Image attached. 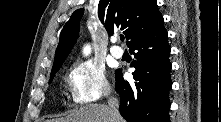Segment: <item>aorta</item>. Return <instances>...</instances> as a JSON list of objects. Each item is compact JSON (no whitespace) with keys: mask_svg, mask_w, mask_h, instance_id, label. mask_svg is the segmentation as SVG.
Returning a JSON list of instances; mask_svg holds the SVG:
<instances>
[{"mask_svg":"<svg viewBox=\"0 0 221 122\" xmlns=\"http://www.w3.org/2000/svg\"><path fill=\"white\" fill-rule=\"evenodd\" d=\"M84 53H85L86 55H88V54L90 53V47H89V46H86V47L84 48Z\"/></svg>","mask_w":221,"mask_h":122,"instance_id":"aorta-1","label":"aorta"}]
</instances>
